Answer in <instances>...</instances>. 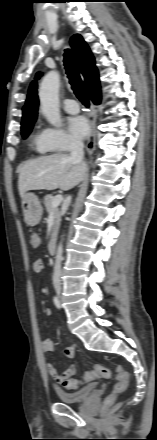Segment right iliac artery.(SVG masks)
<instances>
[{
  "label": "right iliac artery",
  "instance_id": "right-iliac-artery-1",
  "mask_svg": "<svg viewBox=\"0 0 157 440\" xmlns=\"http://www.w3.org/2000/svg\"><path fill=\"white\" fill-rule=\"evenodd\" d=\"M53 302L58 309L61 308L60 302L56 296L53 297Z\"/></svg>",
  "mask_w": 157,
  "mask_h": 440
}]
</instances>
